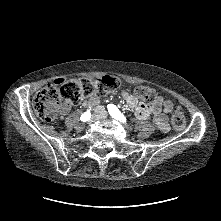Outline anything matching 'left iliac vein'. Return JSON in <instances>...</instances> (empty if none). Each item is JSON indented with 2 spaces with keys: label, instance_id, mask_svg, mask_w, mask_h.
I'll list each match as a JSON object with an SVG mask.
<instances>
[{
  "label": "left iliac vein",
  "instance_id": "obj_1",
  "mask_svg": "<svg viewBox=\"0 0 221 221\" xmlns=\"http://www.w3.org/2000/svg\"><path fill=\"white\" fill-rule=\"evenodd\" d=\"M101 116H102V117H105V112H102Z\"/></svg>",
  "mask_w": 221,
  "mask_h": 221
}]
</instances>
